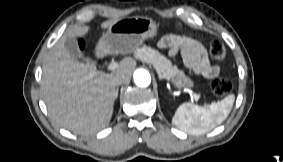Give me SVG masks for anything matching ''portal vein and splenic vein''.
Instances as JSON below:
<instances>
[{
	"mask_svg": "<svg viewBox=\"0 0 283 162\" xmlns=\"http://www.w3.org/2000/svg\"><path fill=\"white\" fill-rule=\"evenodd\" d=\"M117 67H118V64H117L116 62H112V63H110V64L108 65L107 68H108V70L113 71V70H115ZM193 96H194V99H195L196 101H198V99L200 98V96L197 95V94H193Z\"/></svg>",
	"mask_w": 283,
	"mask_h": 162,
	"instance_id": "18ae733b",
	"label": "portal vein and splenic vein"
}]
</instances>
